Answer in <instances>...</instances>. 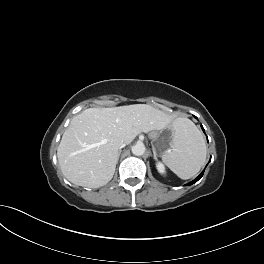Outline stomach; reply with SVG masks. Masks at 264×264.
I'll return each instance as SVG.
<instances>
[{
  "mask_svg": "<svg viewBox=\"0 0 264 264\" xmlns=\"http://www.w3.org/2000/svg\"><path fill=\"white\" fill-rule=\"evenodd\" d=\"M174 125V124H173ZM150 139L153 142V148L157 152H164L168 148L170 142V135L166 131H153L150 133Z\"/></svg>",
  "mask_w": 264,
  "mask_h": 264,
  "instance_id": "stomach-1",
  "label": "stomach"
}]
</instances>
